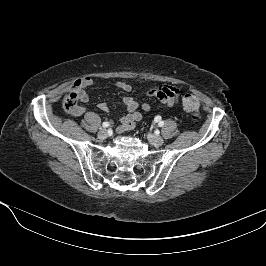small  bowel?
I'll list each match as a JSON object with an SVG mask.
<instances>
[{"label":"small bowel","mask_w":266,"mask_h":266,"mask_svg":"<svg viewBox=\"0 0 266 266\" xmlns=\"http://www.w3.org/2000/svg\"><path fill=\"white\" fill-rule=\"evenodd\" d=\"M93 84V80L90 77H85L78 80L75 83L74 88L78 91L79 101L86 103L89 100V96L86 92V88ZM115 86L124 92H130L132 87L126 82H116ZM179 89L170 85L153 86L147 90V95L158 98L167 107H174L178 103ZM127 108V114L120 118V126L118 131H124L132 128L136 122L141 120L142 113L137 111L139 103L135 97L127 96L123 99ZM98 108L101 111L107 112L108 105L104 102L98 104ZM142 110L147 112L150 110V105L147 103L142 104ZM86 111L84 106H79L71 114L74 116H80Z\"/></svg>","instance_id":"small-bowel-1"}]
</instances>
